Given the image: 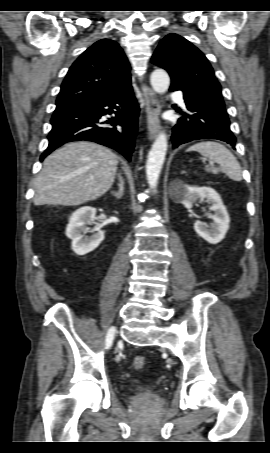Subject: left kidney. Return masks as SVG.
I'll use <instances>...</instances> for the list:
<instances>
[{"instance_id":"1","label":"left kidney","mask_w":270,"mask_h":453,"mask_svg":"<svg viewBox=\"0 0 270 453\" xmlns=\"http://www.w3.org/2000/svg\"><path fill=\"white\" fill-rule=\"evenodd\" d=\"M199 199H206L207 203L211 205V209L214 211L212 215L213 222L207 225L197 220L194 223V230L207 242L217 244L224 239L229 229V214L220 195L214 189L210 187L184 186L181 203L185 208L191 209Z\"/></svg>"}]
</instances>
